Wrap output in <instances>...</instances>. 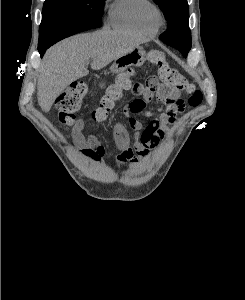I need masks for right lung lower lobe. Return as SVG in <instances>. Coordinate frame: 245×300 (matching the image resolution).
<instances>
[{
  "instance_id": "right-lung-lower-lobe-1",
  "label": "right lung lower lobe",
  "mask_w": 245,
  "mask_h": 300,
  "mask_svg": "<svg viewBox=\"0 0 245 300\" xmlns=\"http://www.w3.org/2000/svg\"><path fill=\"white\" fill-rule=\"evenodd\" d=\"M100 26H101V22H92V23L86 25L84 27V29L89 30V29H93V28H98ZM49 47H50V45L38 46V50H39V53H40L41 57L44 55L46 49L49 48Z\"/></svg>"
}]
</instances>
